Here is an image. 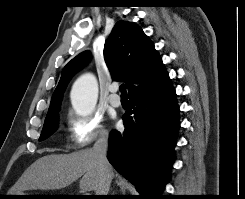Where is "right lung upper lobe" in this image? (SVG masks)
I'll list each match as a JSON object with an SVG mask.
<instances>
[{"label": "right lung upper lobe", "instance_id": "1", "mask_svg": "<svg viewBox=\"0 0 245 199\" xmlns=\"http://www.w3.org/2000/svg\"><path fill=\"white\" fill-rule=\"evenodd\" d=\"M104 59L112 79L126 83L128 96L154 89L169 78L154 44L135 23H116L104 45ZM89 61L90 52L84 51L65 65L47 116L60 110L63 93L70 79Z\"/></svg>", "mask_w": 245, "mask_h": 199}]
</instances>
